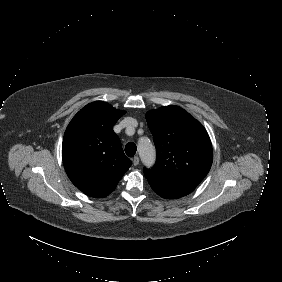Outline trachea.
<instances>
[{"instance_id":"obj_1","label":"trachea","mask_w":282,"mask_h":282,"mask_svg":"<svg viewBox=\"0 0 282 282\" xmlns=\"http://www.w3.org/2000/svg\"><path fill=\"white\" fill-rule=\"evenodd\" d=\"M136 150H137V146L133 142H130V143L126 144V146H125V153L129 157H133L136 153Z\"/></svg>"}]
</instances>
